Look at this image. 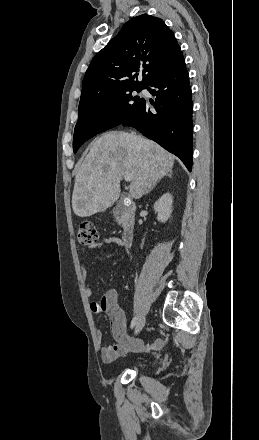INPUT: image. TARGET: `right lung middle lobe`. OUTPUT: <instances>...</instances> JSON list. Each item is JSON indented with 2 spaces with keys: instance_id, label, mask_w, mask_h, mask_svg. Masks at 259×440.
I'll list each match as a JSON object with an SVG mask.
<instances>
[{
  "instance_id": "1",
  "label": "right lung middle lobe",
  "mask_w": 259,
  "mask_h": 440,
  "mask_svg": "<svg viewBox=\"0 0 259 440\" xmlns=\"http://www.w3.org/2000/svg\"><path fill=\"white\" fill-rule=\"evenodd\" d=\"M144 88H132L116 92L90 105L78 109L79 120L75 126L73 151L93 136L118 126L128 120L140 108L143 98L133 96Z\"/></svg>"
}]
</instances>
